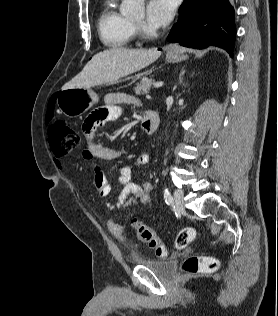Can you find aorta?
Listing matches in <instances>:
<instances>
[{"mask_svg": "<svg viewBox=\"0 0 278 316\" xmlns=\"http://www.w3.org/2000/svg\"><path fill=\"white\" fill-rule=\"evenodd\" d=\"M120 12L125 16H138L144 13V0H123Z\"/></svg>", "mask_w": 278, "mask_h": 316, "instance_id": "obj_1", "label": "aorta"}]
</instances>
